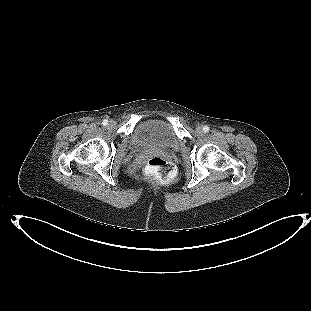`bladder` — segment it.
<instances>
[{
    "label": "bladder",
    "mask_w": 311,
    "mask_h": 311,
    "mask_svg": "<svg viewBox=\"0 0 311 311\" xmlns=\"http://www.w3.org/2000/svg\"><path fill=\"white\" fill-rule=\"evenodd\" d=\"M132 143L142 148L175 150L180 142L172 124L163 119L153 118L145 121L133 132Z\"/></svg>",
    "instance_id": "obj_1"
}]
</instances>
